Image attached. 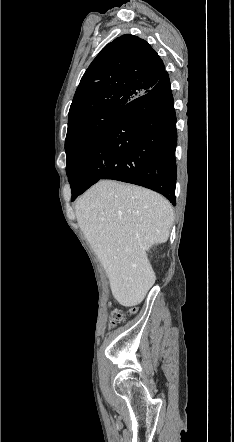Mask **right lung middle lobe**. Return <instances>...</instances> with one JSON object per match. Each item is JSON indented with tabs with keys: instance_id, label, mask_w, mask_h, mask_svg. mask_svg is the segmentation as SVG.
Returning a JSON list of instances; mask_svg holds the SVG:
<instances>
[{
	"instance_id": "right-lung-middle-lobe-1",
	"label": "right lung middle lobe",
	"mask_w": 234,
	"mask_h": 442,
	"mask_svg": "<svg viewBox=\"0 0 234 442\" xmlns=\"http://www.w3.org/2000/svg\"><path fill=\"white\" fill-rule=\"evenodd\" d=\"M119 110L120 108L103 109L68 123L65 151L66 172L70 182V175L75 166L99 141Z\"/></svg>"
}]
</instances>
